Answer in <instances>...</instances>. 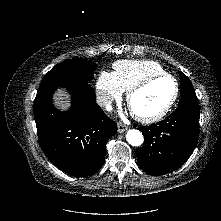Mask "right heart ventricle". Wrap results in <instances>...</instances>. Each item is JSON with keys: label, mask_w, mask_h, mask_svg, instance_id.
I'll use <instances>...</instances> for the list:
<instances>
[{"label": "right heart ventricle", "mask_w": 221, "mask_h": 221, "mask_svg": "<svg viewBox=\"0 0 221 221\" xmlns=\"http://www.w3.org/2000/svg\"><path fill=\"white\" fill-rule=\"evenodd\" d=\"M164 72L158 63L148 60H120L113 64V75L122 91H129L144 79Z\"/></svg>", "instance_id": "1"}]
</instances>
